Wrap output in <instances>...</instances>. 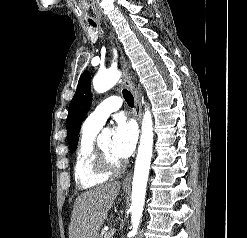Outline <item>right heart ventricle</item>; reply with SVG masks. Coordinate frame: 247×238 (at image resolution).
I'll list each match as a JSON object with an SVG mask.
<instances>
[{
  "label": "right heart ventricle",
  "instance_id": "obj_1",
  "mask_svg": "<svg viewBox=\"0 0 247 238\" xmlns=\"http://www.w3.org/2000/svg\"><path fill=\"white\" fill-rule=\"evenodd\" d=\"M98 129L82 127L79 146L74 161V180L80 189L96 187L109 178L108 175L99 173L94 167L95 138Z\"/></svg>",
  "mask_w": 247,
  "mask_h": 238
}]
</instances>
